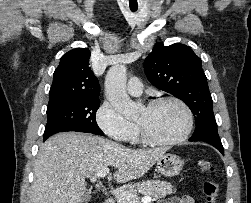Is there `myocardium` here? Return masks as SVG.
Returning <instances> with one entry per match:
<instances>
[{
    "label": "myocardium",
    "mask_w": 251,
    "mask_h": 203,
    "mask_svg": "<svg viewBox=\"0 0 251 203\" xmlns=\"http://www.w3.org/2000/svg\"><path fill=\"white\" fill-rule=\"evenodd\" d=\"M164 103H175L183 109V111L185 112V115H186V119H187L186 127H185L183 133L180 136H178L177 138L170 139V140H160V139H156V138L152 137L149 134V132L147 131V129L144 127V125H142L141 123H137L140 137H141L142 141L145 142L146 144L153 145V146L178 145V144L184 142L185 140H187L193 130V126H194L193 112H192L191 108L182 99H180L178 97L166 96V97L154 99L147 104L146 108L152 109V108H155V107H157L161 104H164Z\"/></svg>",
    "instance_id": "1"
}]
</instances>
